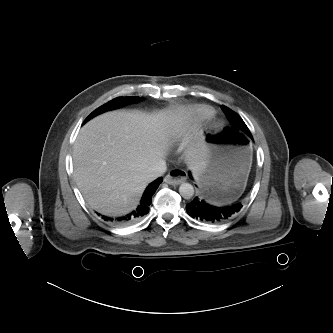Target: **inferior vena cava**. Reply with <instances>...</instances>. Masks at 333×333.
Listing matches in <instances>:
<instances>
[{
	"label": "inferior vena cava",
	"instance_id": "inferior-vena-cava-1",
	"mask_svg": "<svg viewBox=\"0 0 333 333\" xmlns=\"http://www.w3.org/2000/svg\"><path fill=\"white\" fill-rule=\"evenodd\" d=\"M167 170L166 162L164 160H159L152 164L145 173L144 178L148 181H152L160 176H162Z\"/></svg>",
	"mask_w": 333,
	"mask_h": 333
}]
</instances>
